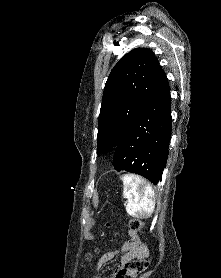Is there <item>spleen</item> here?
<instances>
[{
  "label": "spleen",
  "instance_id": "1",
  "mask_svg": "<svg viewBox=\"0 0 221 278\" xmlns=\"http://www.w3.org/2000/svg\"><path fill=\"white\" fill-rule=\"evenodd\" d=\"M123 197L127 198L126 212L135 218H149L155 209V193L150 184L139 176L125 174Z\"/></svg>",
  "mask_w": 221,
  "mask_h": 278
}]
</instances>
